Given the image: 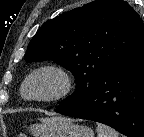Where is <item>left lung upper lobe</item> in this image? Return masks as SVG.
I'll list each match as a JSON object with an SVG mask.
<instances>
[{"mask_svg":"<svg viewBox=\"0 0 144 137\" xmlns=\"http://www.w3.org/2000/svg\"><path fill=\"white\" fill-rule=\"evenodd\" d=\"M143 30L140 15L127 2L96 0L44 23L30 41L25 60H53L70 70L76 90L61 103L70 105L86 97Z\"/></svg>","mask_w":144,"mask_h":137,"instance_id":"5c2ea615","label":"left lung upper lobe"}]
</instances>
